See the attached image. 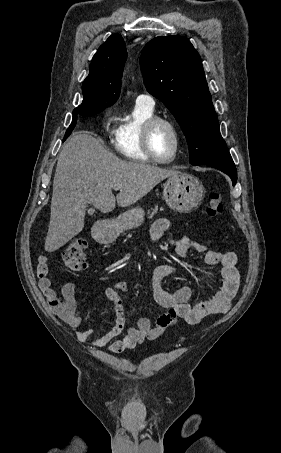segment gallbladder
I'll list each match as a JSON object with an SVG mask.
<instances>
[{
	"instance_id": "gallbladder-1",
	"label": "gallbladder",
	"mask_w": 281,
	"mask_h": 453,
	"mask_svg": "<svg viewBox=\"0 0 281 453\" xmlns=\"http://www.w3.org/2000/svg\"><path fill=\"white\" fill-rule=\"evenodd\" d=\"M88 212H89V214H94L95 210H94V208H89Z\"/></svg>"
}]
</instances>
